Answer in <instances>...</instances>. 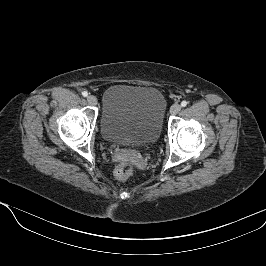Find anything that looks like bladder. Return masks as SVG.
<instances>
[{
    "label": "bladder",
    "instance_id": "bladder-1",
    "mask_svg": "<svg viewBox=\"0 0 266 266\" xmlns=\"http://www.w3.org/2000/svg\"><path fill=\"white\" fill-rule=\"evenodd\" d=\"M165 111V97L157 88L112 85L102 97V136L117 144H152L161 134Z\"/></svg>",
    "mask_w": 266,
    "mask_h": 266
}]
</instances>
